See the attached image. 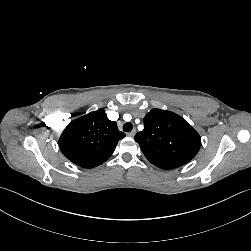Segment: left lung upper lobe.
I'll list each match as a JSON object with an SVG mask.
<instances>
[{
  "label": "left lung upper lobe",
  "mask_w": 251,
  "mask_h": 251,
  "mask_svg": "<svg viewBox=\"0 0 251 251\" xmlns=\"http://www.w3.org/2000/svg\"><path fill=\"white\" fill-rule=\"evenodd\" d=\"M134 139L148 161L165 170L186 164L201 146L199 134L188 122L161 109H152L146 114L144 129Z\"/></svg>",
  "instance_id": "5c2ea615"
}]
</instances>
